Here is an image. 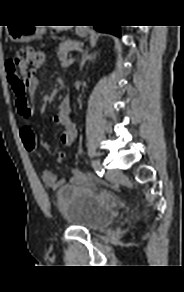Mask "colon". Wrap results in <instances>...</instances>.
<instances>
[{
	"label": "colon",
	"instance_id": "5ec220e1",
	"mask_svg": "<svg viewBox=\"0 0 184 292\" xmlns=\"http://www.w3.org/2000/svg\"><path fill=\"white\" fill-rule=\"evenodd\" d=\"M44 57L41 52L30 47H23L17 50L7 61V73L10 84L17 90L21 97V103L31 115L35 113V89L30 87V82L37 71L42 67ZM21 139L25 149L34 154H41L55 162H61L64 158L62 152L55 154L39 151L37 148L33 130L22 131Z\"/></svg>",
	"mask_w": 184,
	"mask_h": 292
}]
</instances>
